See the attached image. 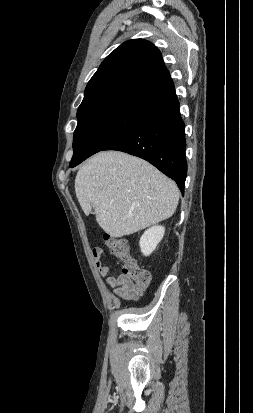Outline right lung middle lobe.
Masks as SVG:
<instances>
[{
	"label": "right lung middle lobe",
	"mask_w": 253,
	"mask_h": 413,
	"mask_svg": "<svg viewBox=\"0 0 253 413\" xmlns=\"http://www.w3.org/2000/svg\"><path fill=\"white\" fill-rule=\"evenodd\" d=\"M146 117L129 111H110L79 120L73 137L74 154L70 167H75L123 138L137 128Z\"/></svg>",
	"instance_id": "1"
}]
</instances>
